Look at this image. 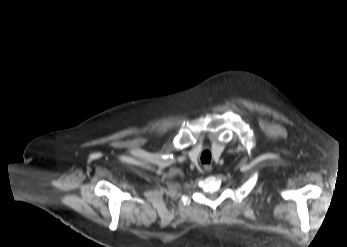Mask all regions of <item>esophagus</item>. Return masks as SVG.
Returning <instances> with one entry per match:
<instances>
[{
  "label": "esophagus",
  "mask_w": 347,
  "mask_h": 247,
  "mask_svg": "<svg viewBox=\"0 0 347 247\" xmlns=\"http://www.w3.org/2000/svg\"><path fill=\"white\" fill-rule=\"evenodd\" d=\"M204 170H205L206 172H211V171H212V166H211V165H205V166H204Z\"/></svg>",
  "instance_id": "1"
}]
</instances>
